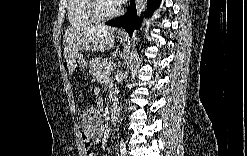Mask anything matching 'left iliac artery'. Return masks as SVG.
Listing matches in <instances>:
<instances>
[{"label":"left iliac artery","mask_w":247,"mask_h":156,"mask_svg":"<svg viewBox=\"0 0 247 156\" xmlns=\"http://www.w3.org/2000/svg\"><path fill=\"white\" fill-rule=\"evenodd\" d=\"M120 148H121V150H120L121 155H122V156L127 155L126 145H125V143L123 142V140L121 141Z\"/></svg>","instance_id":"obj_1"}]
</instances>
